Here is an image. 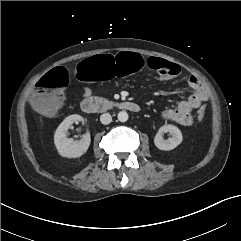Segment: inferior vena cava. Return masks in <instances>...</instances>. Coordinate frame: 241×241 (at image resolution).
I'll list each match as a JSON object with an SVG mask.
<instances>
[{
  "mask_svg": "<svg viewBox=\"0 0 241 241\" xmlns=\"http://www.w3.org/2000/svg\"><path fill=\"white\" fill-rule=\"evenodd\" d=\"M100 121L102 124L107 125V124L111 123L112 116L109 113H104L100 116Z\"/></svg>",
  "mask_w": 241,
  "mask_h": 241,
  "instance_id": "inferior-vena-cava-1",
  "label": "inferior vena cava"
}]
</instances>
